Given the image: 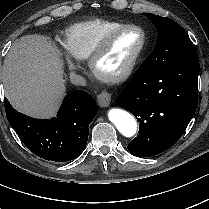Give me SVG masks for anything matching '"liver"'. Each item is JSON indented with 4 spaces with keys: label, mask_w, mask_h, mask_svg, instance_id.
<instances>
[{
    "label": "liver",
    "mask_w": 209,
    "mask_h": 209,
    "mask_svg": "<svg viewBox=\"0 0 209 209\" xmlns=\"http://www.w3.org/2000/svg\"><path fill=\"white\" fill-rule=\"evenodd\" d=\"M2 78L13 107L34 117L54 116L66 89L59 51L39 35L23 36L12 44Z\"/></svg>",
    "instance_id": "1"
}]
</instances>
